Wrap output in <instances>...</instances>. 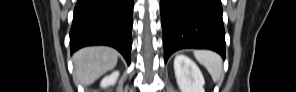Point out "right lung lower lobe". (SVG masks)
Segmentation results:
<instances>
[{
    "instance_id": "obj_1",
    "label": "right lung lower lobe",
    "mask_w": 296,
    "mask_h": 92,
    "mask_svg": "<svg viewBox=\"0 0 296 92\" xmlns=\"http://www.w3.org/2000/svg\"><path fill=\"white\" fill-rule=\"evenodd\" d=\"M132 10L133 0H77L70 30L71 51L108 45L130 64Z\"/></svg>"
}]
</instances>
